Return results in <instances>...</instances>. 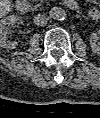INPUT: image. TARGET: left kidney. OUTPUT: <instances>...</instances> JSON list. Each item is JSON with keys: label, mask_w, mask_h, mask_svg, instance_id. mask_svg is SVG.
I'll use <instances>...</instances> for the list:
<instances>
[{"label": "left kidney", "mask_w": 100, "mask_h": 118, "mask_svg": "<svg viewBox=\"0 0 100 118\" xmlns=\"http://www.w3.org/2000/svg\"><path fill=\"white\" fill-rule=\"evenodd\" d=\"M100 35L99 33H93L90 38V44L94 51H99L100 43H99Z\"/></svg>", "instance_id": "1"}]
</instances>
